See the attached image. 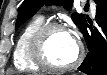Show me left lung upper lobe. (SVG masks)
<instances>
[{"mask_svg": "<svg viewBox=\"0 0 107 75\" xmlns=\"http://www.w3.org/2000/svg\"><path fill=\"white\" fill-rule=\"evenodd\" d=\"M73 0H24L16 21V28L32 17L43 4H60L66 8H71ZM72 20L81 30L86 23V18L83 14L73 13Z\"/></svg>", "mask_w": 107, "mask_h": 75, "instance_id": "left-lung-upper-lobe-1", "label": "left lung upper lobe"}]
</instances>
